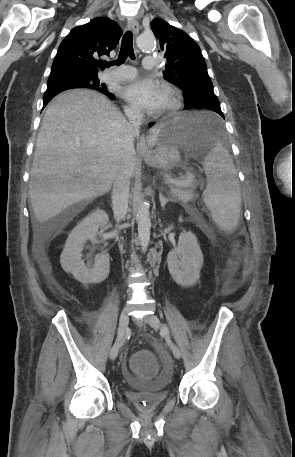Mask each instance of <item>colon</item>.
<instances>
[{
  "mask_svg": "<svg viewBox=\"0 0 295 457\" xmlns=\"http://www.w3.org/2000/svg\"><path fill=\"white\" fill-rule=\"evenodd\" d=\"M246 243V235L240 234L236 242L237 248L243 247ZM133 359V370L136 378H142L145 381L147 378L156 377L158 365L153 351H134Z\"/></svg>",
  "mask_w": 295,
  "mask_h": 457,
  "instance_id": "obj_1",
  "label": "colon"
}]
</instances>
